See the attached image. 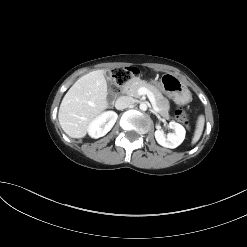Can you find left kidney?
<instances>
[{"instance_id": "5707ae66", "label": "left kidney", "mask_w": 247, "mask_h": 247, "mask_svg": "<svg viewBox=\"0 0 247 247\" xmlns=\"http://www.w3.org/2000/svg\"><path fill=\"white\" fill-rule=\"evenodd\" d=\"M169 127L175 131V133H168L165 137L163 130L155 131V138L158 144L166 148H176L178 147L185 139L186 130L185 128L174 121L169 123Z\"/></svg>"}]
</instances>
